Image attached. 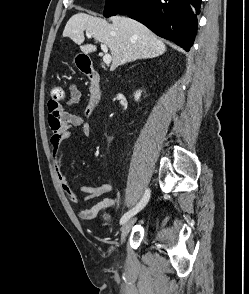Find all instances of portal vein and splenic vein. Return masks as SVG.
I'll use <instances>...</instances> for the list:
<instances>
[{
	"instance_id": "obj_1",
	"label": "portal vein and splenic vein",
	"mask_w": 249,
	"mask_h": 294,
	"mask_svg": "<svg viewBox=\"0 0 249 294\" xmlns=\"http://www.w3.org/2000/svg\"><path fill=\"white\" fill-rule=\"evenodd\" d=\"M87 36H88V37H91V34H90V33H87ZM101 49H102V51L104 52V56H103V61H104V63H106V64L111 63V61H112V57H111V55L108 53L107 45H105L104 43L101 44Z\"/></svg>"
}]
</instances>
